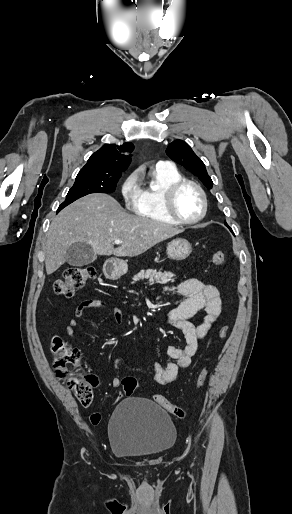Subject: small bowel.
<instances>
[{
	"instance_id": "obj_1",
	"label": "small bowel",
	"mask_w": 292,
	"mask_h": 514,
	"mask_svg": "<svg viewBox=\"0 0 292 514\" xmlns=\"http://www.w3.org/2000/svg\"><path fill=\"white\" fill-rule=\"evenodd\" d=\"M168 290L174 291L185 299L179 304L168 310L167 323L170 327L181 331L185 337L184 345H169L166 349L170 360L165 366L160 363L151 365L154 380L161 386H167L177 381L180 371L188 368L191 364L192 357L196 354L200 341L206 336L208 330L215 323L222 313V300L217 287L196 278L184 279L177 284L168 287ZM107 303L102 298L86 299L79 303L75 309L74 317L69 321L64 330L67 337H73L76 334V328L79 320L89 311L104 310ZM203 309L205 316L201 323L195 325L187 320L188 317ZM124 316V312L117 309L115 312V320L120 322ZM122 363V357L115 359V369H118ZM112 385L119 388L121 379L116 376L112 380ZM116 400L121 402L124 393L117 391L115 393ZM116 404V401H113ZM110 409V406H107Z\"/></svg>"
}]
</instances>
